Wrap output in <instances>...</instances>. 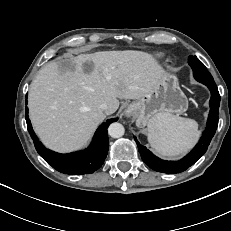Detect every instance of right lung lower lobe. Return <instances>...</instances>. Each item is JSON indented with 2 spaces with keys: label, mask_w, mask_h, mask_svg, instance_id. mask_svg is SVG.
<instances>
[{
  "label": "right lung lower lobe",
  "mask_w": 231,
  "mask_h": 231,
  "mask_svg": "<svg viewBox=\"0 0 231 231\" xmlns=\"http://www.w3.org/2000/svg\"><path fill=\"white\" fill-rule=\"evenodd\" d=\"M27 111L28 108L26 107L28 131L33 139L35 148L39 155L54 169L64 174L76 175L93 173L102 166L109 149L107 128L118 118L108 119L106 122L102 123L87 149L69 154H59L45 148L38 140L32 129Z\"/></svg>",
  "instance_id": "right-lung-lower-lobe-1"
}]
</instances>
